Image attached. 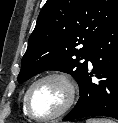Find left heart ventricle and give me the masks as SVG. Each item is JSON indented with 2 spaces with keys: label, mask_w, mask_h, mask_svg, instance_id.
I'll return each instance as SVG.
<instances>
[{
  "label": "left heart ventricle",
  "mask_w": 118,
  "mask_h": 123,
  "mask_svg": "<svg viewBox=\"0 0 118 123\" xmlns=\"http://www.w3.org/2000/svg\"><path fill=\"white\" fill-rule=\"evenodd\" d=\"M66 100V87L55 79L47 80L37 85L30 96L33 113L41 117L57 113L63 107Z\"/></svg>",
  "instance_id": "obj_1"
}]
</instances>
